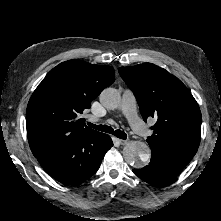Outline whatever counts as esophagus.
I'll use <instances>...</instances> for the list:
<instances>
[{"instance_id":"34e87169","label":"esophagus","mask_w":221,"mask_h":221,"mask_svg":"<svg viewBox=\"0 0 221 221\" xmlns=\"http://www.w3.org/2000/svg\"><path fill=\"white\" fill-rule=\"evenodd\" d=\"M120 145H126L128 143V140H123V139H117Z\"/></svg>"}]
</instances>
